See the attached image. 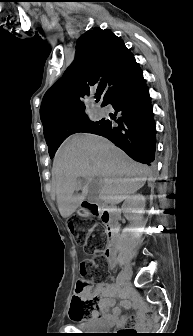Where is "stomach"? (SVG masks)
<instances>
[{
    "label": "stomach",
    "instance_id": "1",
    "mask_svg": "<svg viewBox=\"0 0 193 336\" xmlns=\"http://www.w3.org/2000/svg\"><path fill=\"white\" fill-rule=\"evenodd\" d=\"M77 214L81 217H88L90 215L89 211L84 209V208H80L78 211H77Z\"/></svg>",
    "mask_w": 193,
    "mask_h": 336
}]
</instances>
